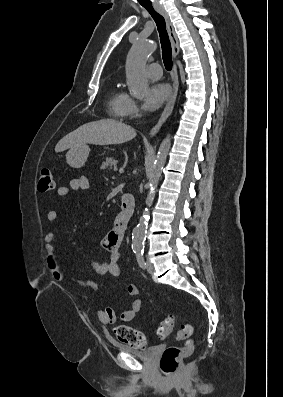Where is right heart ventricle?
Returning <instances> with one entry per match:
<instances>
[{"instance_id":"right-heart-ventricle-1","label":"right heart ventricle","mask_w":283,"mask_h":397,"mask_svg":"<svg viewBox=\"0 0 283 397\" xmlns=\"http://www.w3.org/2000/svg\"><path fill=\"white\" fill-rule=\"evenodd\" d=\"M127 94L121 91L118 87H113L108 97V110L113 117H122V108L126 100Z\"/></svg>"}]
</instances>
